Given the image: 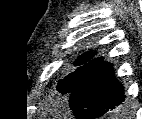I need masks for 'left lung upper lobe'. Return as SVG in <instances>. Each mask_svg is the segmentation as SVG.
<instances>
[{
    "label": "left lung upper lobe",
    "instance_id": "obj_1",
    "mask_svg": "<svg viewBox=\"0 0 142 119\" xmlns=\"http://www.w3.org/2000/svg\"><path fill=\"white\" fill-rule=\"evenodd\" d=\"M94 53H86L77 58L74 65L77 66L74 72L68 74L64 80H61L57 86L60 93H71L74 88L79 84L87 72L98 65L103 58H93Z\"/></svg>",
    "mask_w": 142,
    "mask_h": 119
}]
</instances>
